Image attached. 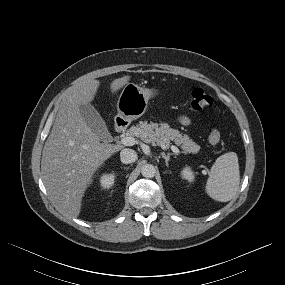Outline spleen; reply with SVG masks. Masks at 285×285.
<instances>
[{"label":"spleen","instance_id":"1","mask_svg":"<svg viewBox=\"0 0 285 285\" xmlns=\"http://www.w3.org/2000/svg\"><path fill=\"white\" fill-rule=\"evenodd\" d=\"M239 183L238 157L229 152L218 157L212 165L205 189L215 201L228 202L236 195Z\"/></svg>","mask_w":285,"mask_h":285}]
</instances>
